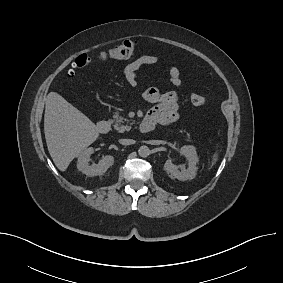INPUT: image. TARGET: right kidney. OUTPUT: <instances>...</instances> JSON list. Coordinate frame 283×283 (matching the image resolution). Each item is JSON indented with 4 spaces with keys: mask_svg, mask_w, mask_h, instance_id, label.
<instances>
[{
    "mask_svg": "<svg viewBox=\"0 0 283 283\" xmlns=\"http://www.w3.org/2000/svg\"><path fill=\"white\" fill-rule=\"evenodd\" d=\"M94 153V149L89 147L83 150L78 157L77 169L87 176L103 175L114 163V157L106 155L97 165H89V158Z\"/></svg>",
    "mask_w": 283,
    "mask_h": 283,
    "instance_id": "1",
    "label": "right kidney"
}]
</instances>
